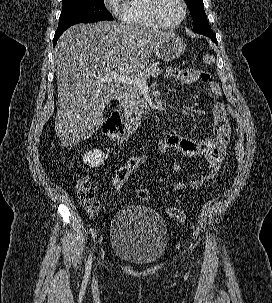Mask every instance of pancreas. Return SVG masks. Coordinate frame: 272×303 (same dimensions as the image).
Masks as SVG:
<instances>
[{
    "label": "pancreas",
    "instance_id": "1",
    "mask_svg": "<svg viewBox=\"0 0 272 303\" xmlns=\"http://www.w3.org/2000/svg\"><path fill=\"white\" fill-rule=\"evenodd\" d=\"M162 70L158 62L147 65L143 70L135 74L139 78H149L150 76L156 78L161 74ZM124 95L127 102L132 103L135 107H142L144 102L141 99V89L137 85H125Z\"/></svg>",
    "mask_w": 272,
    "mask_h": 303
}]
</instances>
